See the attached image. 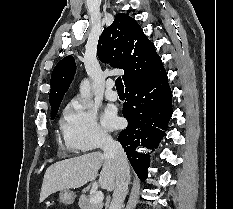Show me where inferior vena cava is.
Instances as JSON below:
<instances>
[{
  "label": "inferior vena cava",
  "instance_id": "obj_1",
  "mask_svg": "<svg viewBox=\"0 0 233 209\" xmlns=\"http://www.w3.org/2000/svg\"><path fill=\"white\" fill-rule=\"evenodd\" d=\"M100 147L106 157L113 159L117 170L116 187L109 209H121L130 181V170L126 154L121 144L110 136H103L101 138Z\"/></svg>",
  "mask_w": 233,
  "mask_h": 209
}]
</instances>
